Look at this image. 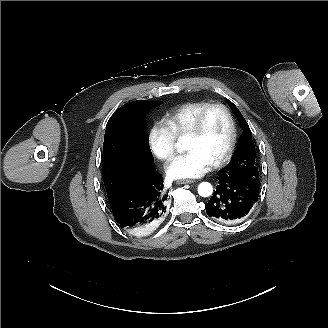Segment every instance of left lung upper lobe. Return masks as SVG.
Listing matches in <instances>:
<instances>
[{
  "mask_svg": "<svg viewBox=\"0 0 328 328\" xmlns=\"http://www.w3.org/2000/svg\"><path fill=\"white\" fill-rule=\"evenodd\" d=\"M229 106L237 116L245 133L241 137L230 163L222 170L226 174L247 175L258 178L259 172L255 162V146L252 141L251 130L238 108L228 101Z\"/></svg>",
  "mask_w": 328,
  "mask_h": 328,
  "instance_id": "obj_1",
  "label": "left lung upper lobe"
}]
</instances>
